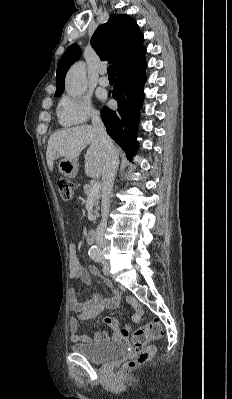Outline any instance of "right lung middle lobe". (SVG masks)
Listing matches in <instances>:
<instances>
[{
  "mask_svg": "<svg viewBox=\"0 0 232 399\" xmlns=\"http://www.w3.org/2000/svg\"><path fill=\"white\" fill-rule=\"evenodd\" d=\"M61 94L55 95V96H60Z\"/></svg>",
  "mask_w": 232,
  "mask_h": 399,
  "instance_id": "dd1d6c3e",
  "label": "right lung middle lobe"
}]
</instances>
